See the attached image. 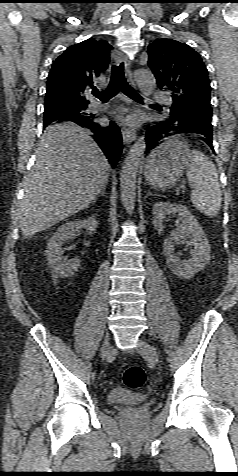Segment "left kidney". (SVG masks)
I'll return each mask as SVG.
<instances>
[{
    "instance_id": "left-kidney-1",
    "label": "left kidney",
    "mask_w": 238,
    "mask_h": 476,
    "mask_svg": "<svg viewBox=\"0 0 238 476\" xmlns=\"http://www.w3.org/2000/svg\"><path fill=\"white\" fill-rule=\"evenodd\" d=\"M153 225L163 230L165 217L177 214L183 221L171 235L164 240L163 254L166 264L173 274L182 279H190L201 271L210 259V244L208 239L186 206L176 203L158 201L153 206ZM190 238L194 248L190 251L191 258L181 260L174 255L175 246Z\"/></svg>"
}]
</instances>
